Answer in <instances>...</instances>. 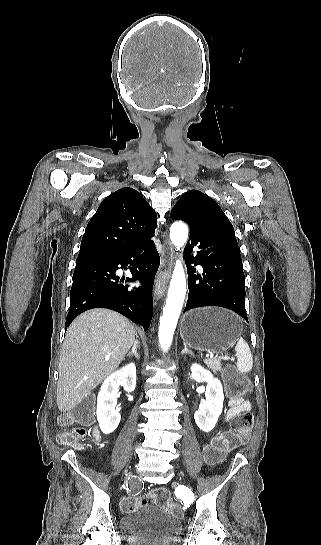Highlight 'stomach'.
Wrapping results in <instances>:
<instances>
[{
    "instance_id": "obj_1",
    "label": "stomach",
    "mask_w": 321,
    "mask_h": 545,
    "mask_svg": "<svg viewBox=\"0 0 321 545\" xmlns=\"http://www.w3.org/2000/svg\"><path fill=\"white\" fill-rule=\"evenodd\" d=\"M242 321L228 309L202 307L185 313L180 335L191 349L224 353L242 333Z\"/></svg>"
}]
</instances>
